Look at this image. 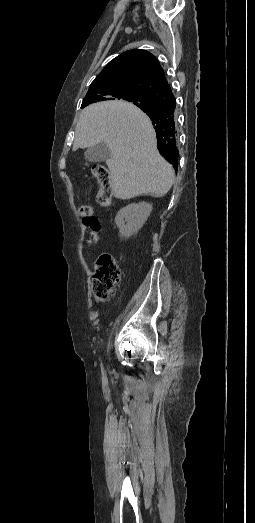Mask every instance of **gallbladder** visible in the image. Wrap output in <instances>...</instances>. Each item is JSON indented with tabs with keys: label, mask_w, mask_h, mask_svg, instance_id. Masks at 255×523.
Listing matches in <instances>:
<instances>
[{
	"label": "gallbladder",
	"mask_w": 255,
	"mask_h": 523,
	"mask_svg": "<svg viewBox=\"0 0 255 523\" xmlns=\"http://www.w3.org/2000/svg\"><path fill=\"white\" fill-rule=\"evenodd\" d=\"M84 156L88 162H105V160H110L111 152L105 142H100V144H95L92 148H87Z\"/></svg>",
	"instance_id": "1"
}]
</instances>
